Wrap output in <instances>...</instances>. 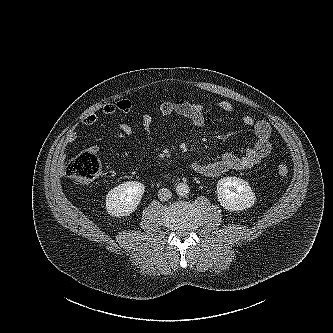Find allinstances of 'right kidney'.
<instances>
[{"label": "right kidney", "instance_id": "obj_1", "mask_svg": "<svg viewBox=\"0 0 333 333\" xmlns=\"http://www.w3.org/2000/svg\"><path fill=\"white\" fill-rule=\"evenodd\" d=\"M144 191V184L138 181H127L114 187L106 195L108 214L116 217L132 214L137 209Z\"/></svg>", "mask_w": 333, "mask_h": 333}]
</instances>
